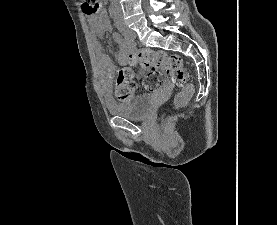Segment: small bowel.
Segmentation results:
<instances>
[{
    "label": "small bowel",
    "instance_id": "obj_1",
    "mask_svg": "<svg viewBox=\"0 0 277 225\" xmlns=\"http://www.w3.org/2000/svg\"><path fill=\"white\" fill-rule=\"evenodd\" d=\"M89 22L92 26L93 30V53L97 63V66L101 69L102 72V87L106 88L108 85V79L110 75L114 71V66L110 62L107 54L104 52L100 42L97 40L96 36L104 34L107 30H109V19L105 10H100L98 15L91 14L89 15ZM113 39L116 43L119 44L118 50V60L121 62H126L129 59L128 55V46L124 43V41L116 34H113ZM142 72H139L136 76L140 77Z\"/></svg>",
    "mask_w": 277,
    "mask_h": 225
}]
</instances>
